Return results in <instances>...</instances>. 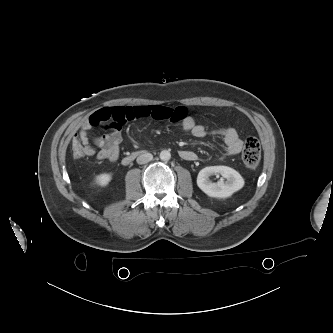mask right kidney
<instances>
[{
  "instance_id": "ca27d5eb",
  "label": "right kidney",
  "mask_w": 333,
  "mask_h": 333,
  "mask_svg": "<svg viewBox=\"0 0 333 333\" xmlns=\"http://www.w3.org/2000/svg\"><path fill=\"white\" fill-rule=\"evenodd\" d=\"M112 179V175L108 173H103L95 178V182L100 186H107Z\"/></svg>"
}]
</instances>
